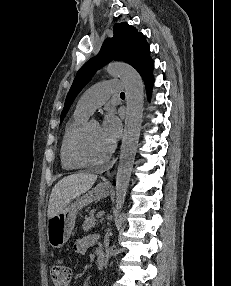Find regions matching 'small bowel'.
Returning a JSON list of instances; mask_svg holds the SVG:
<instances>
[{
  "label": "small bowel",
  "mask_w": 231,
  "mask_h": 286,
  "mask_svg": "<svg viewBox=\"0 0 231 286\" xmlns=\"http://www.w3.org/2000/svg\"><path fill=\"white\" fill-rule=\"evenodd\" d=\"M95 240V236H86L81 239H78L74 244V251L79 255L85 254L88 248L93 245Z\"/></svg>",
  "instance_id": "small-bowel-1"
}]
</instances>
